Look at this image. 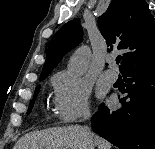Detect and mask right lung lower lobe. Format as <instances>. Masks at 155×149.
Returning <instances> with one entry per match:
<instances>
[{
  "label": "right lung lower lobe",
  "mask_w": 155,
  "mask_h": 149,
  "mask_svg": "<svg viewBox=\"0 0 155 149\" xmlns=\"http://www.w3.org/2000/svg\"><path fill=\"white\" fill-rule=\"evenodd\" d=\"M127 96L109 111L104 105L92 118V128L120 149H155V63L128 68L122 73Z\"/></svg>",
  "instance_id": "98d812e1"
}]
</instances>
